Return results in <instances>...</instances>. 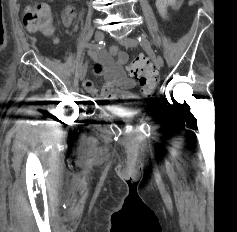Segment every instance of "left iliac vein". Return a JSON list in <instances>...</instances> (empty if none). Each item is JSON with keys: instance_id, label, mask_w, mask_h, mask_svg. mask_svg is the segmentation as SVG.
<instances>
[{"instance_id": "obj_1", "label": "left iliac vein", "mask_w": 237, "mask_h": 232, "mask_svg": "<svg viewBox=\"0 0 237 232\" xmlns=\"http://www.w3.org/2000/svg\"><path fill=\"white\" fill-rule=\"evenodd\" d=\"M119 43L121 45H123L125 47H129V48H134V47L137 46V41L132 39V38H129V37H124V38L119 39ZM157 63H158L159 66L163 67L164 60L161 56H157Z\"/></svg>"}]
</instances>
